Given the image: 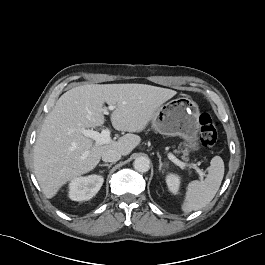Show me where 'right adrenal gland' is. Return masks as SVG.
<instances>
[{
  "label": "right adrenal gland",
  "instance_id": "2a0ac1e0",
  "mask_svg": "<svg viewBox=\"0 0 265 265\" xmlns=\"http://www.w3.org/2000/svg\"><path fill=\"white\" fill-rule=\"evenodd\" d=\"M113 165V163H105V164H99V166L108 167V169Z\"/></svg>",
  "mask_w": 265,
  "mask_h": 265
}]
</instances>
